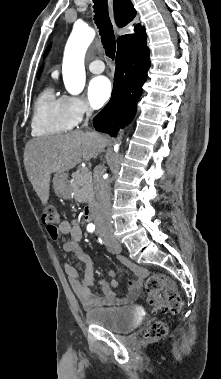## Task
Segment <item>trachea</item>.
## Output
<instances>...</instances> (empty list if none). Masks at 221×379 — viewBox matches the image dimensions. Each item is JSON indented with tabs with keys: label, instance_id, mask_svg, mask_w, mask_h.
<instances>
[{
	"label": "trachea",
	"instance_id": "1",
	"mask_svg": "<svg viewBox=\"0 0 221 379\" xmlns=\"http://www.w3.org/2000/svg\"><path fill=\"white\" fill-rule=\"evenodd\" d=\"M93 3L94 20L99 29L105 54L110 58H114L116 43L113 26L109 18L107 0H93Z\"/></svg>",
	"mask_w": 221,
	"mask_h": 379
}]
</instances>
